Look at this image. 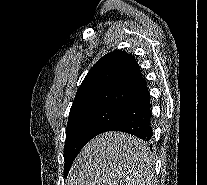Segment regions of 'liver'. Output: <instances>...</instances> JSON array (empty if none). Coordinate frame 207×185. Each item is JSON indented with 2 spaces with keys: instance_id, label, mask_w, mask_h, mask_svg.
I'll use <instances>...</instances> for the list:
<instances>
[{
  "instance_id": "liver-1",
  "label": "liver",
  "mask_w": 207,
  "mask_h": 185,
  "mask_svg": "<svg viewBox=\"0 0 207 185\" xmlns=\"http://www.w3.org/2000/svg\"><path fill=\"white\" fill-rule=\"evenodd\" d=\"M149 149L128 133H102L77 155L66 185H151Z\"/></svg>"
}]
</instances>
